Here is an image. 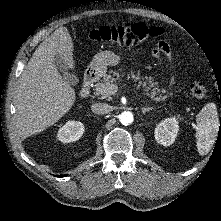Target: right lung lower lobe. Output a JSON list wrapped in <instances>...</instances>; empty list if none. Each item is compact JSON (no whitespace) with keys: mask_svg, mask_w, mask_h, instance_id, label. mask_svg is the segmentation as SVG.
<instances>
[{"mask_svg":"<svg viewBox=\"0 0 221 221\" xmlns=\"http://www.w3.org/2000/svg\"><path fill=\"white\" fill-rule=\"evenodd\" d=\"M65 176H66V175H59V176L57 175V177H65Z\"/></svg>","mask_w":221,"mask_h":221,"instance_id":"98d812e1","label":"right lung lower lobe"}]
</instances>
